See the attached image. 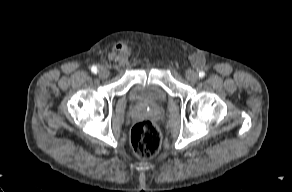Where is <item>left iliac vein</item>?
Instances as JSON below:
<instances>
[{"instance_id": "obj_1", "label": "left iliac vein", "mask_w": 292, "mask_h": 192, "mask_svg": "<svg viewBox=\"0 0 292 192\" xmlns=\"http://www.w3.org/2000/svg\"><path fill=\"white\" fill-rule=\"evenodd\" d=\"M186 78L190 82L195 83L198 80V74L195 71L190 69L186 71Z\"/></svg>"}]
</instances>
